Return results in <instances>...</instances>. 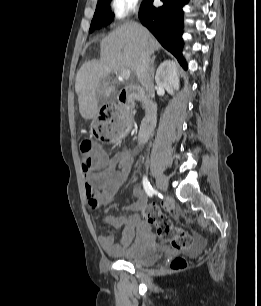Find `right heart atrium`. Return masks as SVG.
I'll return each mask as SVG.
<instances>
[{"mask_svg":"<svg viewBox=\"0 0 261 306\" xmlns=\"http://www.w3.org/2000/svg\"><path fill=\"white\" fill-rule=\"evenodd\" d=\"M138 7V0H111L110 13L115 22H120L134 14Z\"/></svg>","mask_w":261,"mask_h":306,"instance_id":"1","label":"right heart atrium"}]
</instances>
